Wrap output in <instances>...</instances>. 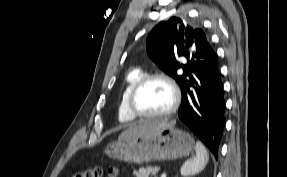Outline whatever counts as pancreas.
Listing matches in <instances>:
<instances>
[{"label": "pancreas", "mask_w": 287, "mask_h": 177, "mask_svg": "<svg viewBox=\"0 0 287 177\" xmlns=\"http://www.w3.org/2000/svg\"><path fill=\"white\" fill-rule=\"evenodd\" d=\"M159 171V167H142L134 171L136 177H152Z\"/></svg>", "instance_id": "obj_1"}]
</instances>
